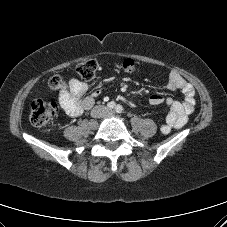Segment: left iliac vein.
<instances>
[{
  "label": "left iliac vein",
  "instance_id": "left-iliac-vein-1",
  "mask_svg": "<svg viewBox=\"0 0 227 227\" xmlns=\"http://www.w3.org/2000/svg\"><path fill=\"white\" fill-rule=\"evenodd\" d=\"M108 115H109V116H112V115H113V112H112V111H109V112H108Z\"/></svg>",
  "mask_w": 227,
  "mask_h": 227
}]
</instances>
